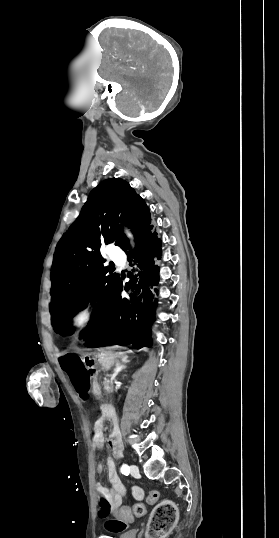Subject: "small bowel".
<instances>
[{
    "label": "small bowel",
    "instance_id": "small-bowel-1",
    "mask_svg": "<svg viewBox=\"0 0 279 538\" xmlns=\"http://www.w3.org/2000/svg\"><path fill=\"white\" fill-rule=\"evenodd\" d=\"M69 378L73 389L77 396L83 400L90 397L93 392V383L90 378V374L84 371H75L69 374ZM106 421H110L112 424V431L108 438V443L116 456L121 454L122 444L120 440V432L118 422L113 415L103 416L97 420L94 424L93 445L96 448L104 446L106 439L103 433V429ZM105 466L108 471V480L110 482V489L105 490L106 497L113 508H118L122 504L123 497L126 495V487L119 479L116 471L115 462L112 458H108L106 464L99 463L97 465V471L100 473L104 470ZM97 491L102 489L100 484L96 486ZM133 497L136 500L143 498V491L139 487H134L132 491ZM107 528L111 531H121L126 528V523L119 520H111L107 523Z\"/></svg>",
    "mask_w": 279,
    "mask_h": 538
}]
</instances>
